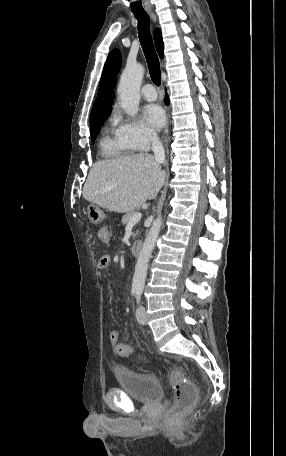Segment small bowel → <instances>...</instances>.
Masks as SVG:
<instances>
[{
	"instance_id": "1",
	"label": "small bowel",
	"mask_w": 286,
	"mask_h": 456,
	"mask_svg": "<svg viewBox=\"0 0 286 456\" xmlns=\"http://www.w3.org/2000/svg\"><path fill=\"white\" fill-rule=\"evenodd\" d=\"M98 236L101 241L108 243L110 241V231L107 227H101L98 231ZM112 258L110 255H103L99 262H98V268L103 270L108 268L111 265ZM110 342L113 345L115 352L118 355L124 356L121 352V347L125 346L126 344L120 342V333L117 330H113L110 332L109 335Z\"/></svg>"
}]
</instances>
